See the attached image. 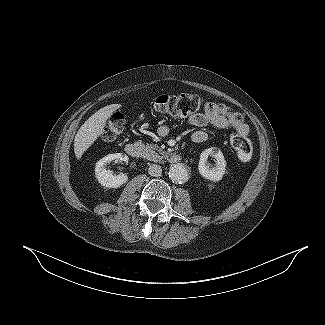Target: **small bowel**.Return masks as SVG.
<instances>
[{
  "mask_svg": "<svg viewBox=\"0 0 325 325\" xmlns=\"http://www.w3.org/2000/svg\"><path fill=\"white\" fill-rule=\"evenodd\" d=\"M188 121L190 125L197 128L191 135V139L195 143H203L207 140L208 134L203 128L208 125L234 129L236 133L245 138L249 135V127L244 122L243 115L223 103L206 102L204 111L192 115ZM168 133V126L161 125L158 127L160 136L165 137Z\"/></svg>",
  "mask_w": 325,
  "mask_h": 325,
  "instance_id": "obj_1",
  "label": "small bowel"
}]
</instances>
